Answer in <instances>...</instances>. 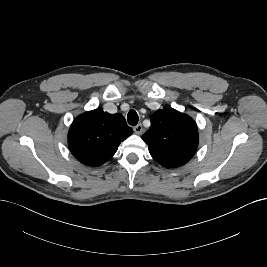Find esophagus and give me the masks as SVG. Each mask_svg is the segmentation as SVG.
<instances>
[{"mask_svg":"<svg viewBox=\"0 0 267 267\" xmlns=\"http://www.w3.org/2000/svg\"><path fill=\"white\" fill-rule=\"evenodd\" d=\"M133 129H134V132H135L136 134H142V132H143V127H142L141 124H138V125L134 126Z\"/></svg>","mask_w":267,"mask_h":267,"instance_id":"obj_1","label":"esophagus"}]
</instances>
